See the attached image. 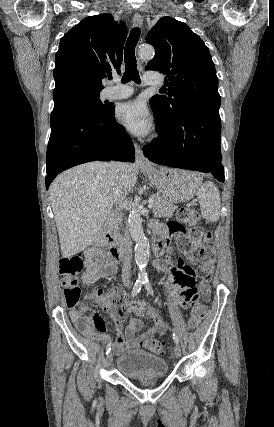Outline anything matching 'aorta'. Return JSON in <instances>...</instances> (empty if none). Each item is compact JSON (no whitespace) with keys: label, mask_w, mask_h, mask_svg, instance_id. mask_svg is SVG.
Returning <instances> with one entry per match:
<instances>
[{"label":"aorta","mask_w":274,"mask_h":427,"mask_svg":"<svg viewBox=\"0 0 274 427\" xmlns=\"http://www.w3.org/2000/svg\"><path fill=\"white\" fill-rule=\"evenodd\" d=\"M139 56L145 59H151L154 56V49L152 46H143L139 49ZM129 231L132 239L135 241V262L140 269L139 278L146 279L145 267L149 259V242L141 225V216L137 208H132L128 217Z\"/></svg>","instance_id":"1"}]
</instances>
